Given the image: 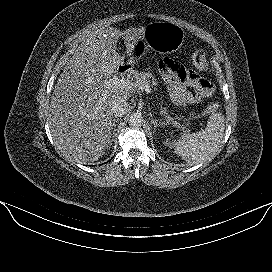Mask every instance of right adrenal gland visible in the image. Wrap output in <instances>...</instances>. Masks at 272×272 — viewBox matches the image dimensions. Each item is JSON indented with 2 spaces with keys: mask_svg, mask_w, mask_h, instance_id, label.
<instances>
[{
  "mask_svg": "<svg viewBox=\"0 0 272 272\" xmlns=\"http://www.w3.org/2000/svg\"><path fill=\"white\" fill-rule=\"evenodd\" d=\"M118 120H119V118H114V119H113V129H114V130H113V134H115V127H116V124H115V123H116Z\"/></svg>",
  "mask_w": 272,
  "mask_h": 272,
  "instance_id": "obj_1",
  "label": "right adrenal gland"
}]
</instances>
